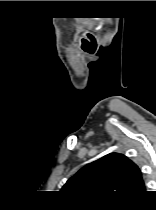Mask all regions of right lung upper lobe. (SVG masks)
Instances as JSON below:
<instances>
[{
  "label": "right lung upper lobe",
  "instance_id": "1",
  "mask_svg": "<svg viewBox=\"0 0 156 210\" xmlns=\"http://www.w3.org/2000/svg\"><path fill=\"white\" fill-rule=\"evenodd\" d=\"M139 167L128 157L110 153L80 169L62 191L95 203L129 202L145 193Z\"/></svg>",
  "mask_w": 156,
  "mask_h": 210
}]
</instances>
